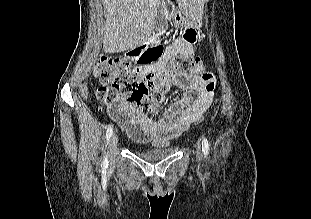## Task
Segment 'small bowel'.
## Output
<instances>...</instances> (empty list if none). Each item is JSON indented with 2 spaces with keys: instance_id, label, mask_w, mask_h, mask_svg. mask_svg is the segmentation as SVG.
<instances>
[{
  "instance_id": "obj_1",
  "label": "small bowel",
  "mask_w": 311,
  "mask_h": 219,
  "mask_svg": "<svg viewBox=\"0 0 311 219\" xmlns=\"http://www.w3.org/2000/svg\"><path fill=\"white\" fill-rule=\"evenodd\" d=\"M191 42L184 38L177 39L156 62L138 67L137 74L142 78H149L153 89L168 83L177 85L182 74L168 71L165 66L176 55L191 56ZM186 78V84L179 86L183 89L181 98L165 108L156 120L146 118L136 106L127 103L118 106V115L114 114L110 107H107V113L132 139L166 144L178 138L190 124L199 121L214 98L216 79L213 74L207 73L202 77L189 75Z\"/></svg>"
}]
</instances>
